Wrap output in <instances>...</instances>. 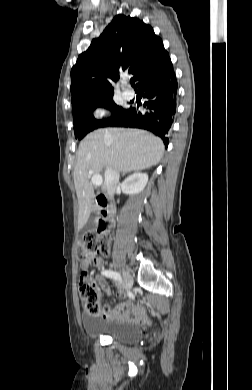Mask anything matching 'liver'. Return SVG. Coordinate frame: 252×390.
Listing matches in <instances>:
<instances>
[{"mask_svg":"<svg viewBox=\"0 0 252 390\" xmlns=\"http://www.w3.org/2000/svg\"><path fill=\"white\" fill-rule=\"evenodd\" d=\"M164 154L162 140L137 129H98L79 144L74 168V184L79 202L78 229L86 224L91 213L94 189L89 171L102 174L107 167L119 172L141 171L160 162Z\"/></svg>","mask_w":252,"mask_h":390,"instance_id":"obj_1","label":"liver"}]
</instances>
